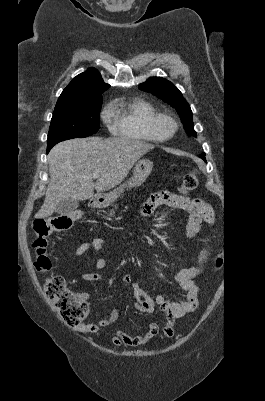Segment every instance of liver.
Returning <instances> with one entry per match:
<instances>
[{
    "mask_svg": "<svg viewBox=\"0 0 265 401\" xmlns=\"http://www.w3.org/2000/svg\"><path fill=\"white\" fill-rule=\"evenodd\" d=\"M154 148V144L132 138H72L58 142L48 154L50 180L45 201L35 219L53 215L58 203L65 198L86 201L94 194L120 184L138 158ZM103 170L96 182L93 172Z\"/></svg>",
    "mask_w": 265,
    "mask_h": 401,
    "instance_id": "liver-1",
    "label": "liver"
}]
</instances>
